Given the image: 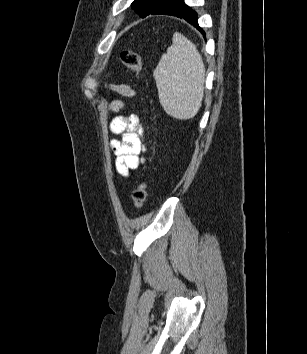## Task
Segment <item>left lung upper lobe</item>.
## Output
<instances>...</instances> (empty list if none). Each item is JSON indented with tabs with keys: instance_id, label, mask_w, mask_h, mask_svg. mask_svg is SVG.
I'll return each mask as SVG.
<instances>
[{
	"instance_id": "left-lung-upper-lobe-1",
	"label": "left lung upper lobe",
	"mask_w": 307,
	"mask_h": 354,
	"mask_svg": "<svg viewBox=\"0 0 307 354\" xmlns=\"http://www.w3.org/2000/svg\"><path fill=\"white\" fill-rule=\"evenodd\" d=\"M169 0H135L131 6L142 18L161 10Z\"/></svg>"
}]
</instances>
